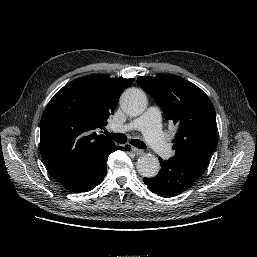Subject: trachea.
I'll use <instances>...</instances> for the list:
<instances>
[{"label":"trachea","instance_id":"trachea-1","mask_svg":"<svg viewBox=\"0 0 257 257\" xmlns=\"http://www.w3.org/2000/svg\"><path fill=\"white\" fill-rule=\"evenodd\" d=\"M104 133L107 137H109L110 139H112L117 143L124 144L127 142V137L122 133L117 134V133H110L108 131H104ZM131 144L139 149H146L145 143L139 139H132Z\"/></svg>","mask_w":257,"mask_h":257}]
</instances>
